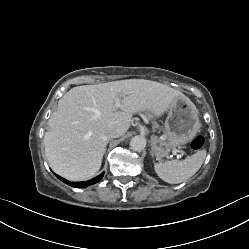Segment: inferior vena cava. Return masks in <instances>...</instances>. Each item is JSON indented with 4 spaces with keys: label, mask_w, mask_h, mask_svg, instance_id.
Returning <instances> with one entry per match:
<instances>
[{
    "label": "inferior vena cava",
    "mask_w": 249,
    "mask_h": 249,
    "mask_svg": "<svg viewBox=\"0 0 249 249\" xmlns=\"http://www.w3.org/2000/svg\"><path fill=\"white\" fill-rule=\"evenodd\" d=\"M119 136H120L119 132L116 131L113 128H106L105 130H103V132L101 134V137L104 140H110V139H113V138H116V137H119Z\"/></svg>",
    "instance_id": "1"
}]
</instances>
